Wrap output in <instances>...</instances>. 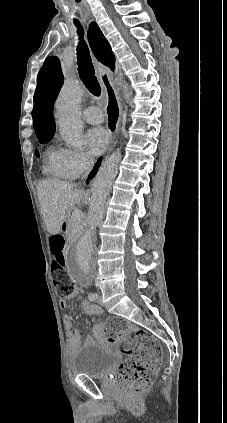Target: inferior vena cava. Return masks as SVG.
<instances>
[{"label":"inferior vena cava","mask_w":227,"mask_h":423,"mask_svg":"<svg viewBox=\"0 0 227 423\" xmlns=\"http://www.w3.org/2000/svg\"><path fill=\"white\" fill-rule=\"evenodd\" d=\"M84 162L86 166V174L88 170H90L91 166H93L94 158L91 156V154H85L84 156ZM85 176H83L82 180H84Z\"/></svg>","instance_id":"inferior-vena-cava-1"}]
</instances>
